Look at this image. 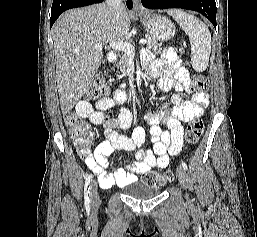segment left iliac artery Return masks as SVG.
I'll list each match as a JSON object with an SVG mask.
<instances>
[{"instance_id": "1", "label": "left iliac artery", "mask_w": 257, "mask_h": 237, "mask_svg": "<svg viewBox=\"0 0 257 237\" xmlns=\"http://www.w3.org/2000/svg\"><path fill=\"white\" fill-rule=\"evenodd\" d=\"M181 165H182L184 170L188 169L187 164L184 161H181Z\"/></svg>"}]
</instances>
